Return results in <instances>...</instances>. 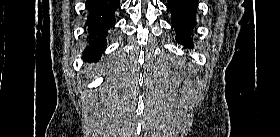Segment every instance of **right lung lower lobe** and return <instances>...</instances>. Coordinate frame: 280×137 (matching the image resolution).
Instances as JSON below:
<instances>
[{
  "instance_id": "1",
  "label": "right lung lower lobe",
  "mask_w": 280,
  "mask_h": 137,
  "mask_svg": "<svg viewBox=\"0 0 280 137\" xmlns=\"http://www.w3.org/2000/svg\"><path fill=\"white\" fill-rule=\"evenodd\" d=\"M87 22L91 45L87 46L83 58L97 62L105 49V35L115 25V12L119 0H86Z\"/></svg>"
}]
</instances>
